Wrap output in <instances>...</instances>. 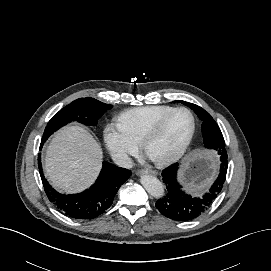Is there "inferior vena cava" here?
<instances>
[{"label":"inferior vena cava","mask_w":271,"mask_h":271,"mask_svg":"<svg viewBox=\"0 0 271 271\" xmlns=\"http://www.w3.org/2000/svg\"><path fill=\"white\" fill-rule=\"evenodd\" d=\"M112 160L120 167L130 169L133 167L131 158L125 152H116L112 154Z\"/></svg>","instance_id":"602c4592"}]
</instances>
